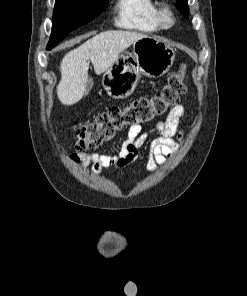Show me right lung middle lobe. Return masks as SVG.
<instances>
[{"instance_id": "1", "label": "right lung middle lobe", "mask_w": 247, "mask_h": 296, "mask_svg": "<svg viewBox=\"0 0 247 296\" xmlns=\"http://www.w3.org/2000/svg\"><path fill=\"white\" fill-rule=\"evenodd\" d=\"M108 0H56L52 33L47 45L51 50L71 31L99 15Z\"/></svg>"}]
</instances>
